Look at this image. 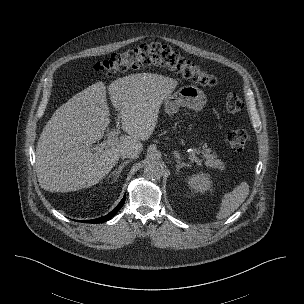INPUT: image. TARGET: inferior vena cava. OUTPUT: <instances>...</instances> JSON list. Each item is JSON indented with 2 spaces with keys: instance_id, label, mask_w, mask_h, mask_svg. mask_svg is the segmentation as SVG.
Returning <instances> with one entry per match:
<instances>
[{
  "instance_id": "602c4592",
  "label": "inferior vena cava",
  "mask_w": 304,
  "mask_h": 304,
  "mask_svg": "<svg viewBox=\"0 0 304 304\" xmlns=\"http://www.w3.org/2000/svg\"><path fill=\"white\" fill-rule=\"evenodd\" d=\"M139 151L137 150H128V151H124L121 154L122 158H129V159H136L139 157Z\"/></svg>"
}]
</instances>
